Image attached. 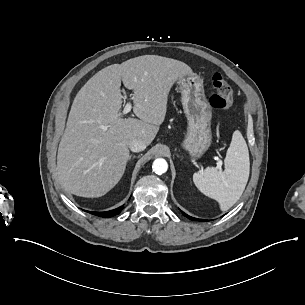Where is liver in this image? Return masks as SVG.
I'll use <instances>...</instances> for the list:
<instances>
[{"instance_id": "6515ba94", "label": "liver", "mask_w": 305, "mask_h": 305, "mask_svg": "<svg viewBox=\"0 0 305 305\" xmlns=\"http://www.w3.org/2000/svg\"><path fill=\"white\" fill-rule=\"evenodd\" d=\"M192 74L184 62L143 55L92 76L73 101L58 148L57 176L65 191L88 198L110 191L124 174L128 141L154 140L172 85ZM121 80L133 90V112L140 120L121 118Z\"/></svg>"}]
</instances>
